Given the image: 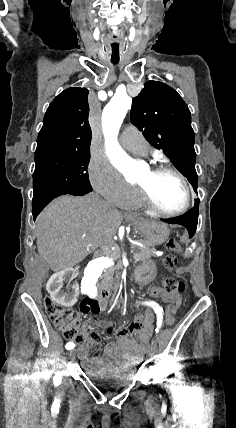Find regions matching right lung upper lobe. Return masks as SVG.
Here are the masks:
<instances>
[{"label":"right lung upper lobe","instance_id":"obj_1","mask_svg":"<svg viewBox=\"0 0 236 428\" xmlns=\"http://www.w3.org/2000/svg\"><path fill=\"white\" fill-rule=\"evenodd\" d=\"M86 88H68L49 105L37 138L39 151H90Z\"/></svg>","mask_w":236,"mask_h":428}]
</instances>
